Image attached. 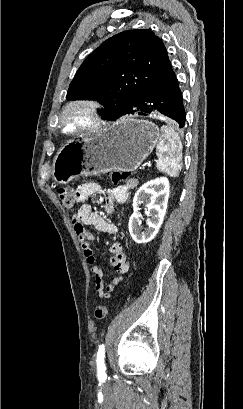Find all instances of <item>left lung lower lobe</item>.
<instances>
[{"instance_id": "left-lung-lower-lobe-1", "label": "left lung lower lobe", "mask_w": 243, "mask_h": 409, "mask_svg": "<svg viewBox=\"0 0 243 409\" xmlns=\"http://www.w3.org/2000/svg\"><path fill=\"white\" fill-rule=\"evenodd\" d=\"M155 112L172 118L180 127L185 124L182 93L172 69L143 91L129 108L122 110L117 117L115 115L113 120H107L114 121L126 114L148 115Z\"/></svg>"}]
</instances>
